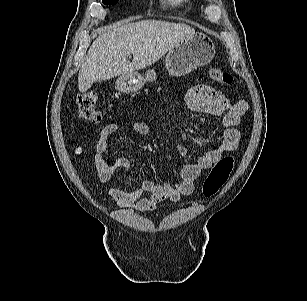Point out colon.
I'll return each mask as SVG.
<instances>
[{
    "instance_id": "obj_1",
    "label": "colon",
    "mask_w": 307,
    "mask_h": 301,
    "mask_svg": "<svg viewBox=\"0 0 307 301\" xmlns=\"http://www.w3.org/2000/svg\"><path fill=\"white\" fill-rule=\"evenodd\" d=\"M211 79L220 85H230L233 81L232 75L219 68L210 69ZM98 94L96 91H86L77 98V109L79 116L89 122H98L102 119V113L97 107ZM234 166V158L224 156L220 158L211 168L203 183V194L206 197L216 195L228 180Z\"/></svg>"
}]
</instances>
